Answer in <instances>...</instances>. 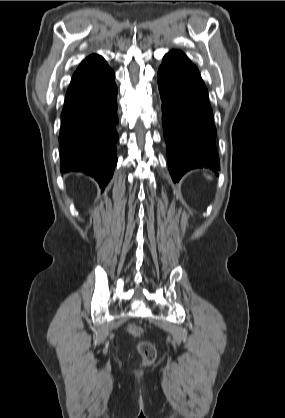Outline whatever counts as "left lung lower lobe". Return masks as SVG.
Returning a JSON list of instances; mask_svg holds the SVG:
<instances>
[{
  "mask_svg": "<svg viewBox=\"0 0 285 418\" xmlns=\"http://www.w3.org/2000/svg\"><path fill=\"white\" fill-rule=\"evenodd\" d=\"M163 134L174 182L194 168L218 170L216 128L208 91L196 66L181 51L167 53L158 70Z\"/></svg>",
  "mask_w": 285,
  "mask_h": 418,
  "instance_id": "0a47b994",
  "label": "left lung lower lobe"
}]
</instances>
